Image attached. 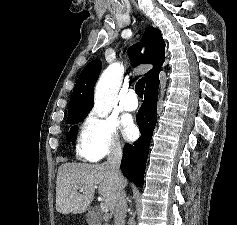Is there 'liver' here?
<instances>
[{
  "label": "liver",
  "instance_id": "liver-1",
  "mask_svg": "<svg viewBox=\"0 0 237 225\" xmlns=\"http://www.w3.org/2000/svg\"><path fill=\"white\" fill-rule=\"evenodd\" d=\"M126 184L125 180V186ZM96 188L110 213L113 214L116 184L106 163L62 164L58 169L56 180V210L64 215L86 212Z\"/></svg>",
  "mask_w": 237,
  "mask_h": 225
}]
</instances>
